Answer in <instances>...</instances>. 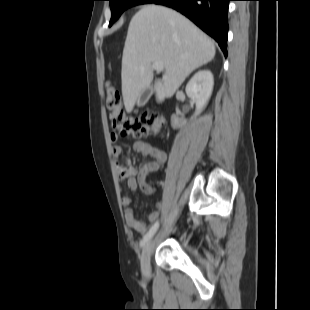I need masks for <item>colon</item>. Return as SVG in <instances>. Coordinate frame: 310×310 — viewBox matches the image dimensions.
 <instances>
[{"instance_id":"1","label":"colon","mask_w":310,"mask_h":310,"mask_svg":"<svg viewBox=\"0 0 310 310\" xmlns=\"http://www.w3.org/2000/svg\"><path fill=\"white\" fill-rule=\"evenodd\" d=\"M106 106L110 112L112 126L122 135L137 137L158 133L163 125L162 116L155 111H146L140 114H129L122 107L120 93L116 85L107 82L105 85Z\"/></svg>"}]
</instances>
